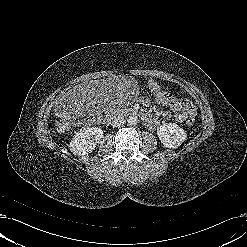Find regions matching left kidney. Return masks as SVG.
<instances>
[{"mask_svg":"<svg viewBox=\"0 0 247 247\" xmlns=\"http://www.w3.org/2000/svg\"><path fill=\"white\" fill-rule=\"evenodd\" d=\"M157 135L165 147L172 149L178 148L187 139L186 131L175 123L162 124L157 128Z\"/></svg>","mask_w":247,"mask_h":247,"instance_id":"left-kidney-1","label":"left kidney"}]
</instances>
